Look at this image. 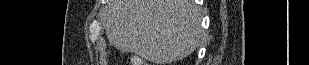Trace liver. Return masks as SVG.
<instances>
[{
	"label": "liver",
	"mask_w": 309,
	"mask_h": 65,
	"mask_svg": "<svg viewBox=\"0 0 309 65\" xmlns=\"http://www.w3.org/2000/svg\"><path fill=\"white\" fill-rule=\"evenodd\" d=\"M105 28L110 45L159 65L190 55L202 39L192 0H109Z\"/></svg>",
	"instance_id": "1"
}]
</instances>
